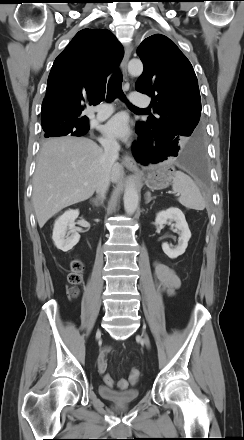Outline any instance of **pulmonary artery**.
<instances>
[{
  "label": "pulmonary artery",
  "instance_id": "pulmonary-artery-1",
  "mask_svg": "<svg viewBox=\"0 0 244 440\" xmlns=\"http://www.w3.org/2000/svg\"><path fill=\"white\" fill-rule=\"evenodd\" d=\"M130 100L134 105L140 106V107H146L149 104L148 97L145 96L144 94L139 93V92H132L130 95ZM96 110L98 112V118L105 119L113 112V106L110 103H103V104H100L96 108Z\"/></svg>",
  "mask_w": 244,
  "mask_h": 440
}]
</instances>
